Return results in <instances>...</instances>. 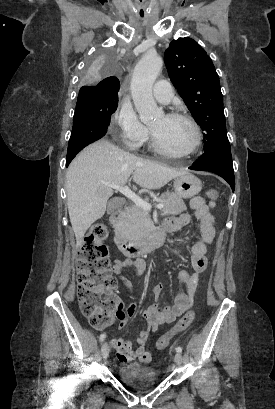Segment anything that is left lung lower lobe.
I'll return each mask as SVG.
<instances>
[{
  "instance_id": "0a47b994",
  "label": "left lung lower lobe",
  "mask_w": 275,
  "mask_h": 409,
  "mask_svg": "<svg viewBox=\"0 0 275 409\" xmlns=\"http://www.w3.org/2000/svg\"><path fill=\"white\" fill-rule=\"evenodd\" d=\"M189 169L213 172L224 178L234 191L235 179L230 146H221L202 154Z\"/></svg>"
}]
</instances>
